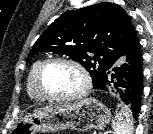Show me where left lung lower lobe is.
Instances as JSON below:
<instances>
[{"mask_svg":"<svg viewBox=\"0 0 153 134\" xmlns=\"http://www.w3.org/2000/svg\"><path fill=\"white\" fill-rule=\"evenodd\" d=\"M140 46L130 55L116 62L101 78L94 89L109 91L117 89L123 102L129 106L133 118L137 119L143 91V67ZM119 87L121 89H119ZM114 91V90H112Z\"/></svg>","mask_w":153,"mask_h":134,"instance_id":"0a47b994","label":"left lung lower lobe"}]
</instances>
